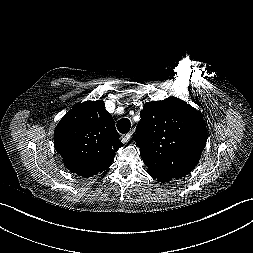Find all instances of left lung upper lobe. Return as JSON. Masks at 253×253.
Masks as SVG:
<instances>
[{
    "label": "left lung upper lobe",
    "instance_id": "5c2ea615",
    "mask_svg": "<svg viewBox=\"0 0 253 253\" xmlns=\"http://www.w3.org/2000/svg\"><path fill=\"white\" fill-rule=\"evenodd\" d=\"M135 142L153 174L182 178L198 163L206 145L202 115L176 97L147 102L140 113Z\"/></svg>",
    "mask_w": 253,
    "mask_h": 253
}]
</instances>
